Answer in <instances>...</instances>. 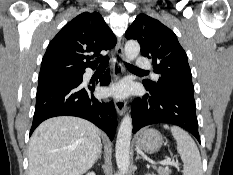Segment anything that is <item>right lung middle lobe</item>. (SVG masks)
<instances>
[{
    "label": "right lung middle lobe",
    "instance_id": "right-lung-middle-lobe-1",
    "mask_svg": "<svg viewBox=\"0 0 233 175\" xmlns=\"http://www.w3.org/2000/svg\"><path fill=\"white\" fill-rule=\"evenodd\" d=\"M81 75L82 74H71V75H60V76L39 78L38 89H41V88H44L46 86L53 85V84L77 81L81 77Z\"/></svg>",
    "mask_w": 233,
    "mask_h": 175
}]
</instances>
